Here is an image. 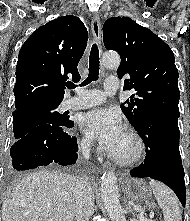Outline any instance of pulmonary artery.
I'll use <instances>...</instances> for the list:
<instances>
[{
  "mask_svg": "<svg viewBox=\"0 0 190 221\" xmlns=\"http://www.w3.org/2000/svg\"><path fill=\"white\" fill-rule=\"evenodd\" d=\"M118 88L119 82L117 78L109 77L105 80L104 91L77 89V96L66 99L63 107L66 110H79L98 105L105 100L106 95L114 94Z\"/></svg>",
  "mask_w": 190,
  "mask_h": 221,
  "instance_id": "obj_1",
  "label": "pulmonary artery"
}]
</instances>
